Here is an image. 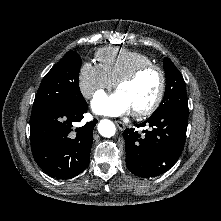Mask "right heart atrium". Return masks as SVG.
Segmentation results:
<instances>
[{
    "label": "right heart atrium",
    "instance_id": "right-heart-atrium-1",
    "mask_svg": "<svg viewBox=\"0 0 221 221\" xmlns=\"http://www.w3.org/2000/svg\"><path fill=\"white\" fill-rule=\"evenodd\" d=\"M114 84L115 82L97 64L86 62L80 68L78 88L86 99H90L96 94L112 88Z\"/></svg>",
    "mask_w": 221,
    "mask_h": 221
}]
</instances>
